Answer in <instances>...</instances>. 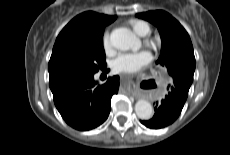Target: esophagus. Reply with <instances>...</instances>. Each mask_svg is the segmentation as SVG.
Instances as JSON below:
<instances>
[{
  "mask_svg": "<svg viewBox=\"0 0 230 155\" xmlns=\"http://www.w3.org/2000/svg\"><path fill=\"white\" fill-rule=\"evenodd\" d=\"M121 79H122V82H124L125 84H128V85L133 84V82L129 81L126 76H122Z\"/></svg>",
  "mask_w": 230,
  "mask_h": 155,
  "instance_id": "obj_1",
  "label": "esophagus"
}]
</instances>
